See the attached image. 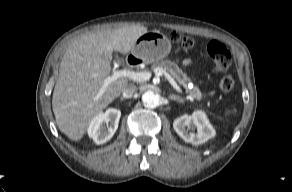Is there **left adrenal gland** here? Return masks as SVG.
<instances>
[{
  "mask_svg": "<svg viewBox=\"0 0 292 192\" xmlns=\"http://www.w3.org/2000/svg\"><path fill=\"white\" fill-rule=\"evenodd\" d=\"M169 99L177 101V102H181V103L184 102V100L180 96H177V95H170Z\"/></svg>",
  "mask_w": 292,
  "mask_h": 192,
  "instance_id": "1",
  "label": "left adrenal gland"
}]
</instances>
